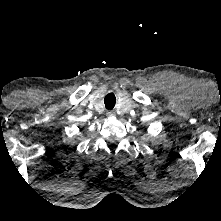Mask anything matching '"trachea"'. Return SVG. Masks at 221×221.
I'll return each instance as SVG.
<instances>
[{
    "label": "trachea",
    "instance_id": "obj_1",
    "mask_svg": "<svg viewBox=\"0 0 221 221\" xmlns=\"http://www.w3.org/2000/svg\"><path fill=\"white\" fill-rule=\"evenodd\" d=\"M105 107L108 110H112L116 104V97L113 93H109L104 98Z\"/></svg>",
    "mask_w": 221,
    "mask_h": 221
}]
</instances>
